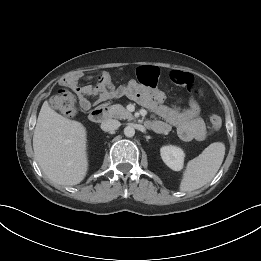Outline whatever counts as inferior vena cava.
<instances>
[{"label":"inferior vena cava","instance_id":"inferior-vena-cava-1","mask_svg":"<svg viewBox=\"0 0 261 261\" xmlns=\"http://www.w3.org/2000/svg\"><path fill=\"white\" fill-rule=\"evenodd\" d=\"M120 122L115 119H107L102 122L101 124V129L103 131L109 132V131H114L120 127Z\"/></svg>","mask_w":261,"mask_h":261}]
</instances>
